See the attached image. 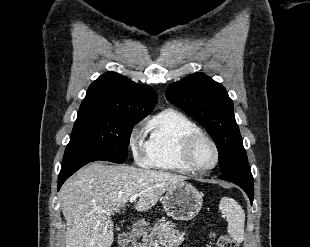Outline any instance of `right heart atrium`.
<instances>
[{"mask_svg":"<svg viewBox=\"0 0 310 247\" xmlns=\"http://www.w3.org/2000/svg\"><path fill=\"white\" fill-rule=\"evenodd\" d=\"M128 142L135 160L141 165L150 166V158L146 145L141 140L137 131L133 130L130 133Z\"/></svg>","mask_w":310,"mask_h":247,"instance_id":"1","label":"right heart atrium"}]
</instances>
